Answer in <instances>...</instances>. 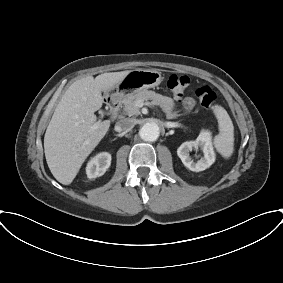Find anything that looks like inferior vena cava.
Returning <instances> with one entry per match:
<instances>
[{
  "label": "inferior vena cava",
  "instance_id": "602c4592",
  "mask_svg": "<svg viewBox=\"0 0 283 283\" xmlns=\"http://www.w3.org/2000/svg\"><path fill=\"white\" fill-rule=\"evenodd\" d=\"M134 127V121L129 118H124L116 123V128L119 131H130Z\"/></svg>",
  "mask_w": 283,
  "mask_h": 283
}]
</instances>
